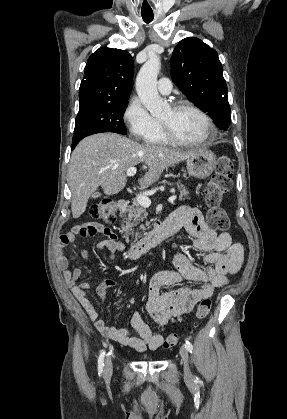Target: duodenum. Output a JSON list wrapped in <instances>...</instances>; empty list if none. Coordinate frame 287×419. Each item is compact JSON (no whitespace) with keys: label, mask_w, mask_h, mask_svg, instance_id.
Returning <instances> with one entry per match:
<instances>
[{"label":"duodenum","mask_w":287,"mask_h":419,"mask_svg":"<svg viewBox=\"0 0 287 419\" xmlns=\"http://www.w3.org/2000/svg\"><path fill=\"white\" fill-rule=\"evenodd\" d=\"M128 207V201L126 199H120L118 201V210L125 212ZM176 231L175 227L168 223H164L157 230H153L141 238L138 242L131 246L128 250V257L131 260L138 259L144 253L155 247L160 241L170 237Z\"/></svg>","instance_id":"410a0bca"}]
</instances>
